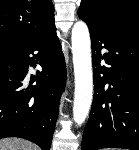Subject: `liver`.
Here are the masks:
<instances>
[{
  "label": "liver",
  "mask_w": 139,
  "mask_h": 150,
  "mask_svg": "<svg viewBox=\"0 0 139 150\" xmlns=\"http://www.w3.org/2000/svg\"><path fill=\"white\" fill-rule=\"evenodd\" d=\"M0 150H37V147L28 141L11 138L0 140Z\"/></svg>",
  "instance_id": "liver-1"
}]
</instances>
